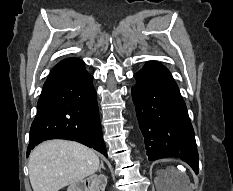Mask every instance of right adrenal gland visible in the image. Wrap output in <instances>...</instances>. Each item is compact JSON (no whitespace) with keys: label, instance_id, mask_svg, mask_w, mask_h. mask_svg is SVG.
<instances>
[{"label":"right adrenal gland","instance_id":"obj_1","mask_svg":"<svg viewBox=\"0 0 233 191\" xmlns=\"http://www.w3.org/2000/svg\"><path fill=\"white\" fill-rule=\"evenodd\" d=\"M101 169H104V170H105L103 161H101L100 167H99V169H98L99 172H101Z\"/></svg>","mask_w":233,"mask_h":191}]
</instances>
